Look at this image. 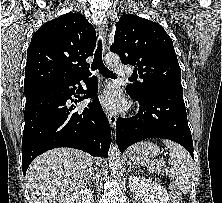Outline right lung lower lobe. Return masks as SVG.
<instances>
[{
	"mask_svg": "<svg viewBox=\"0 0 222 203\" xmlns=\"http://www.w3.org/2000/svg\"><path fill=\"white\" fill-rule=\"evenodd\" d=\"M89 74L33 90L26 95L25 126L22 138V170L26 174L30 163L40 154L57 147L80 149L92 156L106 157L110 147L111 130L97 97V79ZM84 80L87 94L78 102L93 97L82 111H74L67 101L76 96Z\"/></svg>",
	"mask_w": 222,
	"mask_h": 203,
	"instance_id": "obj_1",
	"label": "right lung lower lobe"
}]
</instances>
